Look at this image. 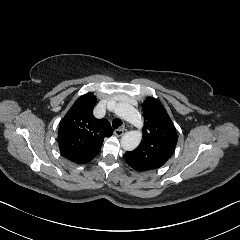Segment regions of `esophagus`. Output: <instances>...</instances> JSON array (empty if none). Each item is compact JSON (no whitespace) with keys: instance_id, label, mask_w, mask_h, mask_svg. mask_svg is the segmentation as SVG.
<instances>
[{"instance_id":"1","label":"esophagus","mask_w":240,"mask_h":240,"mask_svg":"<svg viewBox=\"0 0 240 240\" xmlns=\"http://www.w3.org/2000/svg\"><path fill=\"white\" fill-rule=\"evenodd\" d=\"M126 133H127V129H125V128H117L114 131V135H116V136H122V135H124Z\"/></svg>"}]
</instances>
